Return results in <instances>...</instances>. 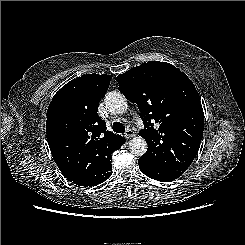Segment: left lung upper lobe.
<instances>
[{
    "mask_svg": "<svg viewBox=\"0 0 245 245\" xmlns=\"http://www.w3.org/2000/svg\"><path fill=\"white\" fill-rule=\"evenodd\" d=\"M120 91L138 105L148 149L140 158L186 171L198 153L204 129L200 96L187 75L172 64L142 63L116 77ZM157 124V126H154Z\"/></svg>",
    "mask_w": 245,
    "mask_h": 245,
    "instance_id": "left-lung-upper-lobe-1",
    "label": "left lung upper lobe"
}]
</instances>
